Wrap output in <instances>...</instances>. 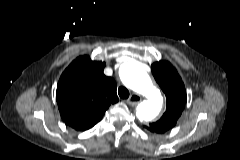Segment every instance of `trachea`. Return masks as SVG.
<instances>
[{"instance_id": "trachea-1", "label": "trachea", "mask_w": 240, "mask_h": 160, "mask_svg": "<svg viewBox=\"0 0 240 160\" xmlns=\"http://www.w3.org/2000/svg\"><path fill=\"white\" fill-rule=\"evenodd\" d=\"M118 95L120 96V98L122 99H127L129 97V91L126 87L121 86L118 89Z\"/></svg>"}]
</instances>
